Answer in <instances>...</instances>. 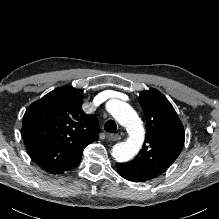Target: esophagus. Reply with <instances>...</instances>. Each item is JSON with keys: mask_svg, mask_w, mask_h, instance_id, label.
<instances>
[{"mask_svg": "<svg viewBox=\"0 0 219 219\" xmlns=\"http://www.w3.org/2000/svg\"><path fill=\"white\" fill-rule=\"evenodd\" d=\"M109 139H110L111 141H119V140L121 139V136H120L119 134H111V135L109 136Z\"/></svg>", "mask_w": 219, "mask_h": 219, "instance_id": "obj_1", "label": "esophagus"}]
</instances>
